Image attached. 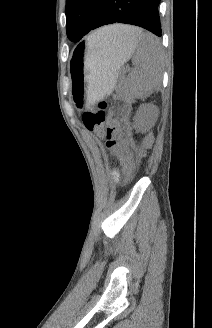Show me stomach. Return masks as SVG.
<instances>
[{
	"instance_id": "0dacf381",
	"label": "stomach",
	"mask_w": 212,
	"mask_h": 328,
	"mask_svg": "<svg viewBox=\"0 0 212 328\" xmlns=\"http://www.w3.org/2000/svg\"><path fill=\"white\" fill-rule=\"evenodd\" d=\"M137 47V39L114 46L78 45L71 56L73 93L82 104L102 99L114 88L123 63Z\"/></svg>"
}]
</instances>
